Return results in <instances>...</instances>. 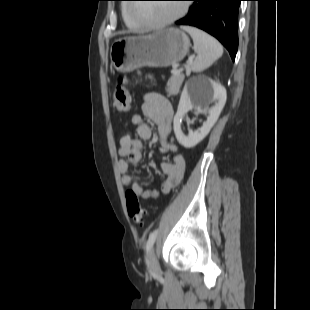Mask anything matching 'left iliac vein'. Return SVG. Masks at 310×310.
<instances>
[{
	"mask_svg": "<svg viewBox=\"0 0 310 310\" xmlns=\"http://www.w3.org/2000/svg\"><path fill=\"white\" fill-rule=\"evenodd\" d=\"M149 265H150V270L153 273L158 274L160 272L159 262H158V259L156 257L154 249H151L150 253H149Z\"/></svg>",
	"mask_w": 310,
	"mask_h": 310,
	"instance_id": "obj_1",
	"label": "left iliac vein"
}]
</instances>
